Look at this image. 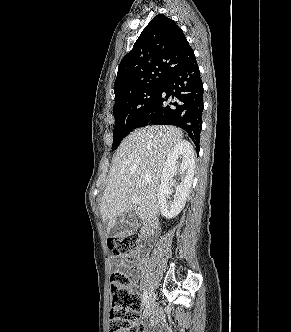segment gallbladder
<instances>
[{"label": "gallbladder", "instance_id": "gallbladder-1", "mask_svg": "<svg viewBox=\"0 0 291 332\" xmlns=\"http://www.w3.org/2000/svg\"><path fill=\"white\" fill-rule=\"evenodd\" d=\"M135 219V210L124 213L109 231V236L115 238L120 235L132 233L137 228Z\"/></svg>", "mask_w": 291, "mask_h": 332}]
</instances>
